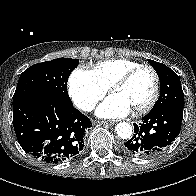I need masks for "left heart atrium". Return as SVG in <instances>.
<instances>
[{
    "label": "left heart atrium",
    "mask_w": 196,
    "mask_h": 196,
    "mask_svg": "<svg viewBox=\"0 0 196 196\" xmlns=\"http://www.w3.org/2000/svg\"><path fill=\"white\" fill-rule=\"evenodd\" d=\"M130 112L131 109L127 104L111 95L97 108L96 114L101 118H120Z\"/></svg>",
    "instance_id": "39dd6f15"
}]
</instances>
